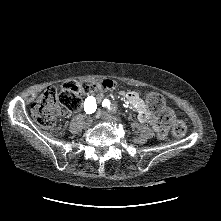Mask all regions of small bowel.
Wrapping results in <instances>:
<instances>
[{
	"label": "small bowel",
	"mask_w": 221,
	"mask_h": 221,
	"mask_svg": "<svg viewBox=\"0 0 221 221\" xmlns=\"http://www.w3.org/2000/svg\"><path fill=\"white\" fill-rule=\"evenodd\" d=\"M122 95L127 99L130 105L137 110L139 120L143 123H149L153 130L158 131L159 122L157 121V118L148 112L145 103L139 95L134 91H123ZM100 99L101 97L97 96V100L100 101Z\"/></svg>",
	"instance_id": "c3829d8e"
}]
</instances>
